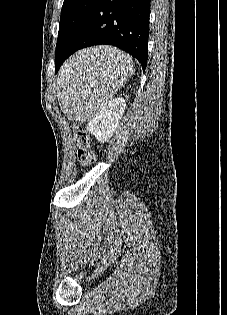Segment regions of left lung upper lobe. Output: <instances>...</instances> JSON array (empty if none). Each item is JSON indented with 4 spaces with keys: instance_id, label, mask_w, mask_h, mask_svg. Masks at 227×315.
I'll return each mask as SVG.
<instances>
[{
    "instance_id": "1",
    "label": "left lung upper lobe",
    "mask_w": 227,
    "mask_h": 315,
    "mask_svg": "<svg viewBox=\"0 0 227 315\" xmlns=\"http://www.w3.org/2000/svg\"><path fill=\"white\" fill-rule=\"evenodd\" d=\"M100 0H64L56 53L63 50L75 34L78 27L91 14Z\"/></svg>"
}]
</instances>
